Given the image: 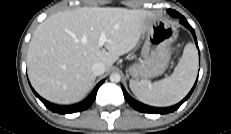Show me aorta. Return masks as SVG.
<instances>
[{"label":"aorta","instance_id":"1","mask_svg":"<svg viewBox=\"0 0 231 134\" xmlns=\"http://www.w3.org/2000/svg\"><path fill=\"white\" fill-rule=\"evenodd\" d=\"M120 80H121V76H120L119 73H112V74L110 75V81H111V82L117 83V82H119Z\"/></svg>","mask_w":231,"mask_h":134}]
</instances>
